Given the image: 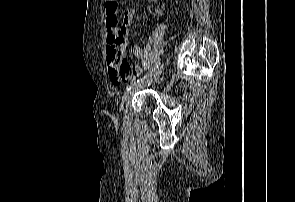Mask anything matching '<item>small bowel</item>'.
Segmentation results:
<instances>
[{
    "mask_svg": "<svg viewBox=\"0 0 295 202\" xmlns=\"http://www.w3.org/2000/svg\"><path fill=\"white\" fill-rule=\"evenodd\" d=\"M153 3L158 2V0H149ZM135 11L133 9H128L124 12L121 24L113 29L119 38V42L115 47H112L107 33V60L109 62V75L111 82L114 85L120 84L123 80H132L136 75L143 72V68L137 67L133 72L131 67H129L128 59H124L126 56V47L129 43V26L134 17ZM107 21L112 18L110 13H107ZM132 53L135 57L146 59L147 51L141 49L138 46L132 47ZM117 62V63H116ZM124 75V76H118Z\"/></svg>",
    "mask_w": 295,
    "mask_h": 202,
    "instance_id": "small-bowel-1",
    "label": "small bowel"
}]
</instances>
